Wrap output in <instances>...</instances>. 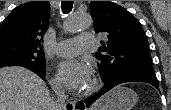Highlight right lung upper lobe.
Segmentation results:
<instances>
[{
    "label": "right lung upper lobe",
    "instance_id": "right-lung-upper-lobe-1",
    "mask_svg": "<svg viewBox=\"0 0 171 110\" xmlns=\"http://www.w3.org/2000/svg\"><path fill=\"white\" fill-rule=\"evenodd\" d=\"M48 1H31L16 7L0 26V44L14 43L42 50L44 33L48 29Z\"/></svg>",
    "mask_w": 171,
    "mask_h": 110
}]
</instances>
